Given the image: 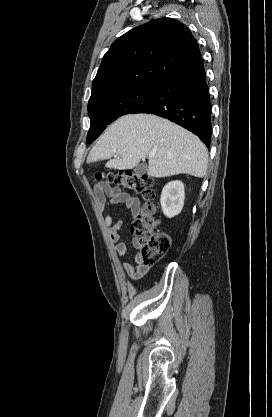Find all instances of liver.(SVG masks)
Returning <instances> with one entry per match:
<instances>
[{
    "label": "liver",
    "mask_w": 272,
    "mask_h": 417,
    "mask_svg": "<svg viewBox=\"0 0 272 417\" xmlns=\"http://www.w3.org/2000/svg\"><path fill=\"white\" fill-rule=\"evenodd\" d=\"M149 158L147 173L162 178L189 174L202 178L208 167V152L194 134L151 114L126 115L111 124L90 151L87 162L108 159L110 169H132ZM117 155L118 158L112 159Z\"/></svg>",
    "instance_id": "liver-1"
}]
</instances>
